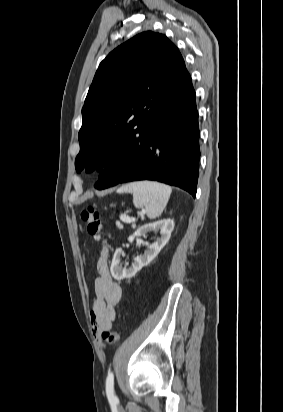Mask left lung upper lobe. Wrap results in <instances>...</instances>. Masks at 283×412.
I'll list each match as a JSON object with an SVG mask.
<instances>
[{
  "label": "left lung upper lobe",
  "mask_w": 283,
  "mask_h": 412,
  "mask_svg": "<svg viewBox=\"0 0 283 412\" xmlns=\"http://www.w3.org/2000/svg\"><path fill=\"white\" fill-rule=\"evenodd\" d=\"M188 75L165 35L143 32L114 49L100 63L82 108L76 171L101 170L120 148L140 140Z\"/></svg>",
  "instance_id": "5c2ea615"
}]
</instances>
